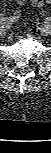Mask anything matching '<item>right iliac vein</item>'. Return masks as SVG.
Listing matches in <instances>:
<instances>
[{"label": "right iliac vein", "mask_w": 51, "mask_h": 153, "mask_svg": "<svg viewBox=\"0 0 51 153\" xmlns=\"http://www.w3.org/2000/svg\"><path fill=\"white\" fill-rule=\"evenodd\" d=\"M1 25H2V28L0 29V34H3L4 35L6 33V29H5L6 23L1 22Z\"/></svg>", "instance_id": "63e3f726"}]
</instances>
